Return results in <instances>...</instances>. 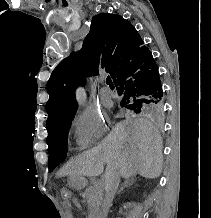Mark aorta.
I'll list each match as a JSON object with an SVG mask.
<instances>
[{
    "mask_svg": "<svg viewBox=\"0 0 211 218\" xmlns=\"http://www.w3.org/2000/svg\"><path fill=\"white\" fill-rule=\"evenodd\" d=\"M77 99L80 103L84 102L85 96L82 90H79L77 93Z\"/></svg>",
    "mask_w": 211,
    "mask_h": 218,
    "instance_id": "obj_1",
    "label": "aorta"
}]
</instances>
